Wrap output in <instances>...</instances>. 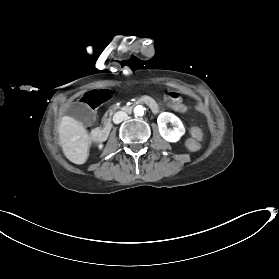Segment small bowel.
Instances as JSON below:
<instances>
[{"instance_id": "small-bowel-1", "label": "small bowel", "mask_w": 279, "mask_h": 279, "mask_svg": "<svg viewBox=\"0 0 279 279\" xmlns=\"http://www.w3.org/2000/svg\"><path fill=\"white\" fill-rule=\"evenodd\" d=\"M166 98L171 102V103H177L181 99V92L177 89H170L166 93Z\"/></svg>"}]
</instances>
